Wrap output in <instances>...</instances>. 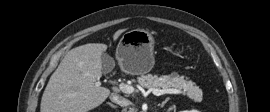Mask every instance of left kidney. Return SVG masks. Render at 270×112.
<instances>
[{"label":"left kidney","instance_id":"obj_1","mask_svg":"<svg viewBox=\"0 0 270 112\" xmlns=\"http://www.w3.org/2000/svg\"><path fill=\"white\" fill-rule=\"evenodd\" d=\"M180 112H200V111H197V110H190V111H180Z\"/></svg>","mask_w":270,"mask_h":112}]
</instances>
